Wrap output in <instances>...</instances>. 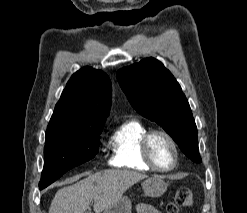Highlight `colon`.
Returning <instances> with one entry per match:
<instances>
[{"mask_svg":"<svg viewBox=\"0 0 247 213\" xmlns=\"http://www.w3.org/2000/svg\"><path fill=\"white\" fill-rule=\"evenodd\" d=\"M193 193L188 188L179 189L173 201L168 205V213H179L181 209L190 208L193 205Z\"/></svg>","mask_w":247,"mask_h":213,"instance_id":"obj_1","label":"colon"}]
</instances>
